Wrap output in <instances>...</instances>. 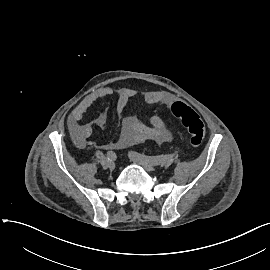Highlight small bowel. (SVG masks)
Instances as JSON below:
<instances>
[{
    "mask_svg": "<svg viewBox=\"0 0 270 270\" xmlns=\"http://www.w3.org/2000/svg\"><path fill=\"white\" fill-rule=\"evenodd\" d=\"M114 91L109 87L100 88L83 98V100L72 110L68 118V128L72 137L81 145L86 144L87 139L92 135L93 126L104 128L107 118V111L104 110L93 123H82L81 120L87 110L98 100L112 96ZM132 92L128 89H121L117 92L115 105L116 113L121 116L127 107ZM173 99L167 91H150L144 95V102L147 105L156 103H170ZM173 132L168 123L161 117L152 115L148 124H144L133 116H125L122 119V131L117 141L102 145L103 149H123L132 145L152 141L163 144L171 141Z\"/></svg>",
    "mask_w": 270,
    "mask_h": 270,
    "instance_id": "c3829d8e",
    "label": "small bowel"
}]
</instances>
